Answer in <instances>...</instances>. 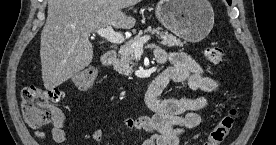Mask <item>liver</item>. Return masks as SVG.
I'll list each match as a JSON object with an SVG mask.
<instances>
[{
    "label": "liver",
    "mask_w": 276,
    "mask_h": 145,
    "mask_svg": "<svg viewBox=\"0 0 276 145\" xmlns=\"http://www.w3.org/2000/svg\"><path fill=\"white\" fill-rule=\"evenodd\" d=\"M140 0H49L41 33L40 57L44 87L51 90L82 69L93 58L91 33L107 26L131 29L136 20L122 9Z\"/></svg>",
    "instance_id": "6515ba94"
}]
</instances>
